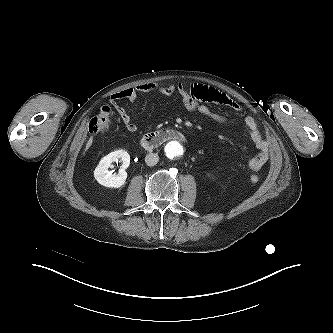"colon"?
<instances>
[{"label":"colon","mask_w":333,"mask_h":333,"mask_svg":"<svg viewBox=\"0 0 333 333\" xmlns=\"http://www.w3.org/2000/svg\"><path fill=\"white\" fill-rule=\"evenodd\" d=\"M113 125V113L110 107L103 106L99 112L92 118L89 129L94 134L104 133ZM252 183H257L259 177L255 174L250 176Z\"/></svg>","instance_id":"1"}]
</instances>
